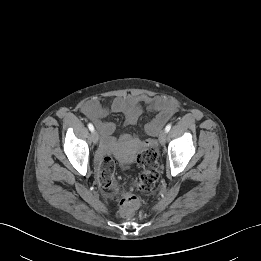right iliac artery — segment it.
<instances>
[{"instance_id":"1","label":"right iliac artery","mask_w":261,"mask_h":261,"mask_svg":"<svg viewBox=\"0 0 261 261\" xmlns=\"http://www.w3.org/2000/svg\"><path fill=\"white\" fill-rule=\"evenodd\" d=\"M88 128L91 132L94 131V126L91 123L88 124Z\"/></svg>"}]
</instances>
